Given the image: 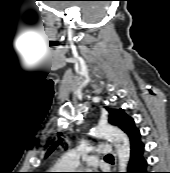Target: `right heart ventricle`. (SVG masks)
Wrapping results in <instances>:
<instances>
[{"label":"right heart ventricle","mask_w":170,"mask_h":173,"mask_svg":"<svg viewBox=\"0 0 170 173\" xmlns=\"http://www.w3.org/2000/svg\"><path fill=\"white\" fill-rule=\"evenodd\" d=\"M57 167L60 169H68L69 167L67 166V158L66 156H63L62 158L59 159L57 163Z\"/></svg>","instance_id":"obj_1"}]
</instances>
